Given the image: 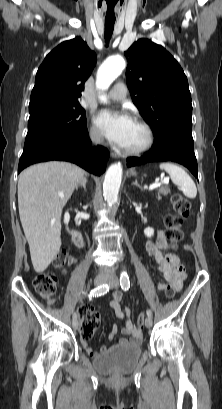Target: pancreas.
Wrapping results in <instances>:
<instances>
[{"label": "pancreas", "instance_id": "1", "mask_svg": "<svg viewBox=\"0 0 222 409\" xmlns=\"http://www.w3.org/2000/svg\"><path fill=\"white\" fill-rule=\"evenodd\" d=\"M169 192H170V190L167 189V188H160L158 190V199H161V194L166 196V195H168Z\"/></svg>", "mask_w": 222, "mask_h": 409}]
</instances>
